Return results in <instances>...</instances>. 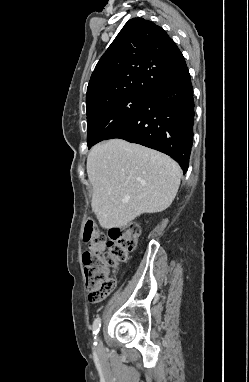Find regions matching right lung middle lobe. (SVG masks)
I'll use <instances>...</instances> for the list:
<instances>
[{
	"mask_svg": "<svg viewBox=\"0 0 249 382\" xmlns=\"http://www.w3.org/2000/svg\"><path fill=\"white\" fill-rule=\"evenodd\" d=\"M148 94H129L110 102L87 109V145L107 139L117 129L129 122L142 108Z\"/></svg>",
	"mask_w": 249,
	"mask_h": 382,
	"instance_id": "obj_1",
	"label": "right lung middle lobe"
}]
</instances>
